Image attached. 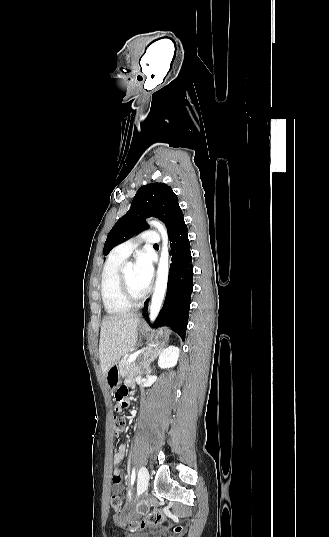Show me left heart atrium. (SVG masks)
Here are the masks:
<instances>
[{
	"label": "left heart atrium",
	"instance_id": "39dd6f15",
	"mask_svg": "<svg viewBox=\"0 0 329 537\" xmlns=\"http://www.w3.org/2000/svg\"><path fill=\"white\" fill-rule=\"evenodd\" d=\"M134 270L138 284L144 291H146L153 276L152 261L147 252L140 251L136 255Z\"/></svg>",
	"mask_w": 329,
	"mask_h": 537
}]
</instances>
